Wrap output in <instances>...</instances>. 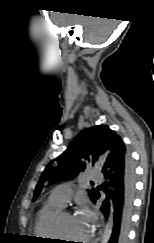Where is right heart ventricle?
Returning <instances> with one entry per match:
<instances>
[{
	"instance_id": "1",
	"label": "right heart ventricle",
	"mask_w": 154,
	"mask_h": 243,
	"mask_svg": "<svg viewBox=\"0 0 154 243\" xmlns=\"http://www.w3.org/2000/svg\"><path fill=\"white\" fill-rule=\"evenodd\" d=\"M61 207L50 200L43 205L37 214L34 224L36 236L47 240L56 239L53 224L55 215Z\"/></svg>"
}]
</instances>
